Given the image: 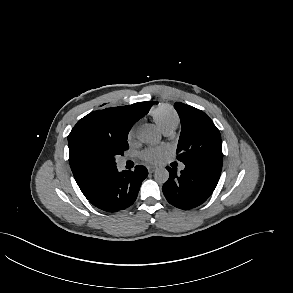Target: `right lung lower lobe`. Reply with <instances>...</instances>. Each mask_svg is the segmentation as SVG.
<instances>
[{
  "label": "right lung lower lobe",
  "mask_w": 293,
  "mask_h": 293,
  "mask_svg": "<svg viewBox=\"0 0 293 293\" xmlns=\"http://www.w3.org/2000/svg\"><path fill=\"white\" fill-rule=\"evenodd\" d=\"M146 167L137 165L134 171L117 169L111 172L99 188L87 199L95 207L117 212L131 206L137 198L142 181L147 177Z\"/></svg>",
  "instance_id": "right-lung-lower-lobe-1"
}]
</instances>
